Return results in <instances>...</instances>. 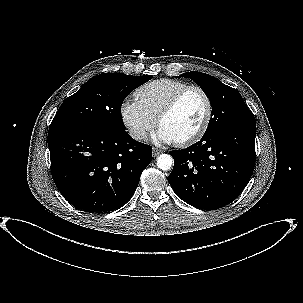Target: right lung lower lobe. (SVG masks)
<instances>
[{
    "label": "right lung lower lobe",
    "instance_id": "1",
    "mask_svg": "<svg viewBox=\"0 0 303 303\" xmlns=\"http://www.w3.org/2000/svg\"><path fill=\"white\" fill-rule=\"evenodd\" d=\"M51 173L64 198L89 213H108L133 196L152 148L126 131L92 127L49 129Z\"/></svg>",
    "mask_w": 303,
    "mask_h": 303
}]
</instances>
